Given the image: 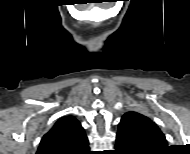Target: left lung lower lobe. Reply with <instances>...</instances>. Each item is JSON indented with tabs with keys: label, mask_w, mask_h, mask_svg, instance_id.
<instances>
[{
	"label": "left lung lower lobe",
	"mask_w": 190,
	"mask_h": 154,
	"mask_svg": "<svg viewBox=\"0 0 190 154\" xmlns=\"http://www.w3.org/2000/svg\"><path fill=\"white\" fill-rule=\"evenodd\" d=\"M167 142L151 132L148 125L135 114L122 117L116 136V150L124 154H151Z\"/></svg>",
	"instance_id": "0a47b994"
}]
</instances>
